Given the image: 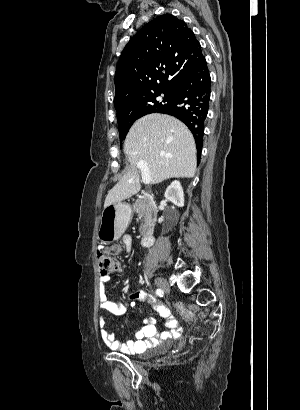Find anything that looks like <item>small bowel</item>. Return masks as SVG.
Returning <instances> with one entry per match:
<instances>
[{
    "instance_id": "c3829d8e",
    "label": "small bowel",
    "mask_w": 300,
    "mask_h": 410,
    "mask_svg": "<svg viewBox=\"0 0 300 410\" xmlns=\"http://www.w3.org/2000/svg\"><path fill=\"white\" fill-rule=\"evenodd\" d=\"M110 280L109 275H101L99 279V307L114 315H122L126 312V304L118 300H109L105 294V284ZM136 300L146 301L150 307L158 312L164 319L166 329L159 334L157 332L154 320L145 318L141 328L136 332V340L120 342L116 340L115 335L106 328L104 318L99 319L100 337L103 342L112 350L119 351L123 354H135L153 347L161 339L171 338L178 333V323L172 316L170 310L162 303L154 300L145 291H137L128 297L129 303Z\"/></svg>"
}]
</instances>
